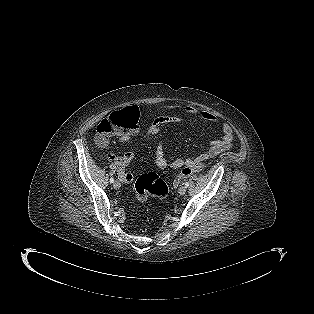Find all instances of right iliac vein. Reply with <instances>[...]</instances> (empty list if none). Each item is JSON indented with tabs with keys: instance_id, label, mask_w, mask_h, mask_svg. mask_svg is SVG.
Returning a JSON list of instances; mask_svg holds the SVG:
<instances>
[{
	"instance_id": "right-iliac-vein-1",
	"label": "right iliac vein",
	"mask_w": 314,
	"mask_h": 314,
	"mask_svg": "<svg viewBox=\"0 0 314 314\" xmlns=\"http://www.w3.org/2000/svg\"><path fill=\"white\" fill-rule=\"evenodd\" d=\"M113 187H114L115 189H119V188L121 187L120 182H119V181H115L114 184H113Z\"/></svg>"
}]
</instances>
